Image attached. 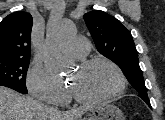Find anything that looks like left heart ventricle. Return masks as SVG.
<instances>
[{
    "label": "left heart ventricle",
    "mask_w": 165,
    "mask_h": 120,
    "mask_svg": "<svg viewBox=\"0 0 165 120\" xmlns=\"http://www.w3.org/2000/svg\"><path fill=\"white\" fill-rule=\"evenodd\" d=\"M70 86L83 98L97 99L109 95L118 87L116 73L106 65L78 69L71 77Z\"/></svg>",
    "instance_id": "b2bd125f"
}]
</instances>
